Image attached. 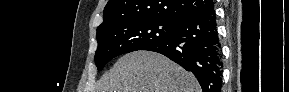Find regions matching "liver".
<instances>
[{"mask_svg":"<svg viewBox=\"0 0 289 92\" xmlns=\"http://www.w3.org/2000/svg\"><path fill=\"white\" fill-rule=\"evenodd\" d=\"M100 92H201L194 75L150 51L123 55L102 77Z\"/></svg>","mask_w":289,"mask_h":92,"instance_id":"6515ba94","label":"liver"}]
</instances>
